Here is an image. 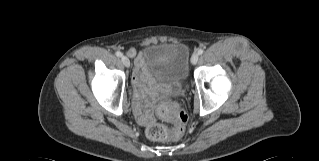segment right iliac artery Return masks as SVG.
<instances>
[{
  "mask_svg": "<svg viewBox=\"0 0 319 161\" xmlns=\"http://www.w3.org/2000/svg\"><path fill=\"white\" fill-rule=\"evenodd\" d=\"M115 54H116L117 57H121L122 56V53L119 52V51H117Z\"/></svg>",
  "mask_w": 319,
  "mask_h": 161,
  "instance_id": "obj_1",
  "label": "right iliac artery"
}]
</instances>
